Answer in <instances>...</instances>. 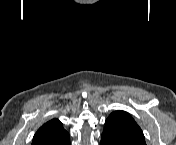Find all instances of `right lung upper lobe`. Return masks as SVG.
I'll return each mask as SVG.
<instances>
[{
  "label": "right lung upper lobe",
  "instance_id": "cb5924a9",
  "mask_svg": "<svg viewBox=\"0 0 176 145\" xmlns=\"http://www.w3.org/2000/svg\"><path fill=\"white\" fill-rule=\"evenodd\" d=\"M32 145H70L69 133L58 119H53L38 129Z\"/></svg>",
  "mask_w": 176,
  "mask_h": 145
}]
</instances>
